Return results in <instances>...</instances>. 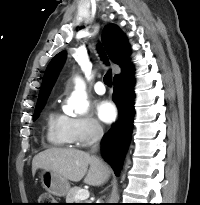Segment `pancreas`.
Listing matches in <instances>:
<instances>
[{"mask_svg":"<svg viewBox=\"0 0 200 205\" xmlns=\"http://www.w3.org/2000/svg\"><path fill=\"white\" fill-rule=\"evenodd\" d=\"M80 187H73L69 190L66 196V203H81L80 200L75 199V195L80 190Z\"/></svg>","mask_w":200,"mask_h":205,"instance_id":"cf45deb5","label":"pancreas"}]
</instances>
